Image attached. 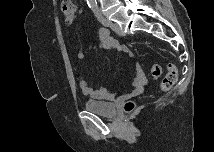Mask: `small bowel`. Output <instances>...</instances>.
I'll list each match as a JSON object with an SVG mask.
<instances>
[{
    "label": "small bowel",
    "instance_id": "1",
    "mask_svg": "<svg viewBox=\"0 0 215 152\" xmlns=\"http://www.w3.org/2000/svg\"><path fill=\"white\" fill-rule=\"evenodd\" d=\"M98 38L100 42V48L102 49H116L121 51L129 56H132L133 53L131 49L126 44H120L115 40L105 28L98 30ZM86 57V52L84 49H79L77 52V58L84 60ZM133 77L131 80V90L127 92L124 97H133L140 94L145 86L147 85V79L142 71V68L139 63H133ZM80 87L82 92L85 95H89L95 99L99 100H110L114 98V95L109 92L106 88H93L86 79L80 78Z\"/></svg>",
    "mask_w": 215,
    "mask_h": 152
}]
</instances>
